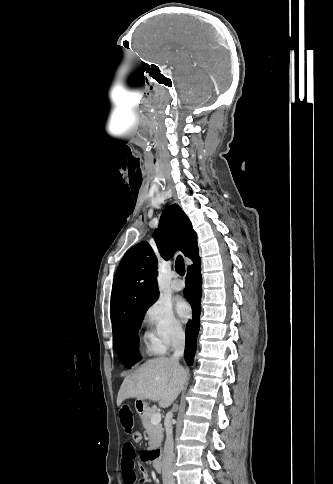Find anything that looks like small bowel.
<instances>
[{
	"instance_id": "1",
	"label": "small bowel",
	"mask_w": 333,
	"mask_h": 484,
	"mask_svg": "<svg viewBox=\"0 0 333 484\" xmlns=\"http://www.w3.org/2000/svg\"><path fill=\"white\" fill-rule=\"evenodd\" d=\"M119 422L127 434L134 432V415L131 408L127 404H122L118 412ZM138 469L142 478L140 483H149L148 472L143 465H138ZM121 470L124 484H136L135 473V449L131 442H125L122 449Z\"/></svg>"
}]
</instances>
